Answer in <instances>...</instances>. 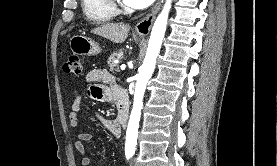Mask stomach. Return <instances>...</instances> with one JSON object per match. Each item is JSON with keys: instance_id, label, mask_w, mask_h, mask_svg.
<instances>
[{"instance_id": "stomach-1", "label": "stomach", "mask_w": 277, "mask_h": 166, "mask_svg": "<svg viewBox=\"0 0 277 166\" xmlns=\"http://www.w3.org/2000/svg\"><path fill=\"white\" fill-rule=\"evenodd\" d=\"M69 44L73 53L82 56H95L102 51L98 43L84 35H74Z\"/></svg>"}]
</instances>
